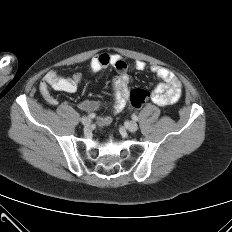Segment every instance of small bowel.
Here are the masks:
<instances>
[{
	"instance_id": "obj_1",
	"label": "small bowel",
	"mask_w": 232,
	"mask_h": 232,
	"mask_svg": "<svg viewBox=\"0 0 232 232\" xmlns=\"http://www.w3.org/2000/svg\"><path fill=\"white\" fill-rule=\"evenodd\" d=\"M109 66L113 67L117 72V75L112 81L114 98L111 103L112 110L117 113L125 108L130 95L129 64L119 55L100 53L91 59L89 70L92 74H95ZM134 68L137 71H144L147 66L145 62L137 60L134 62ZM150 71L161 80V83H159L152 92V101L159 106L176 103L182 93V83L179 78L171 70L160 65H152ZM82 79L83 76L81 73H74L70 77H64L52 70L46 74L44 80L39 85V89L41 95L48 104L57 105L58 100L51 94L50 89L74 93ZM102 107L103 104L96 100H84L78 104V108L85 112L96 111ZM111 121L112 118L110 116L104 115L97 119V124L103 127L109 125Z\"/></svg>"
}]
</instances>
